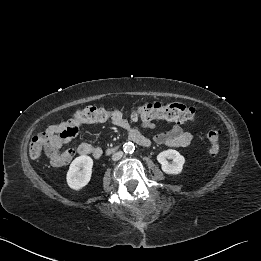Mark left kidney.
<instances>
[{
  "mask_svg": "<svg viewBox=\"0 0 261 261\" xmlns=\"http://www.w3.org/2000/svg\"><path fill=\"white\" fill-rule=\"evenodd\" d=\"M167 159L173 160V163L170 164ZM157 160L161 164L162 171L166 174H180L185 163L184 156L173 149H168L159 153Z\"/></svg>",
  "mask_w": 261,
  "mask_h": 261,
  "instance_id": "obj_1",
  "label": "left kidney"
}]
</instances>
